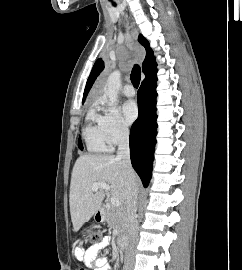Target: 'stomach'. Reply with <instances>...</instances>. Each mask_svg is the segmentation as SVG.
I'll return each mask as SVG.
<instances>
[{"label": "stomach", "instance_id": "stomach-1", "mask_svg": "<svg viewBox=\"0 0 242 270\" xmlns=\"http://www.w3.org/2000/svg\"><path fill=\"white\" fill-rule=\"evenodd\" d=\"M100 214H101V217H104V215H105V213H104V212H101Z\"/></svg>", "mask_w": 242, "mask_h": 270}]
</instances>
